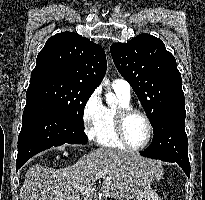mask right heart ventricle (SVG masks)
<instances>
[{"label":"right heart ventricle","instance_id":"1","mask_svg":"<svg viewBox=\"0 0 205 200\" xmlns=\"http://www.w3.org/2000/svg\"><path fill=\"white\" fill-rule=\"evenodd\" d=\"M115 93L118 99V107L131 106L130 97H126L116 91ZM116 109L111 107H104L102 125L95 140L100 146L103 147L124 149L125 146L121 143L115 132L114 114Z\"/></svg>","mask_w":205,"mask_h":200}]
</instances>
